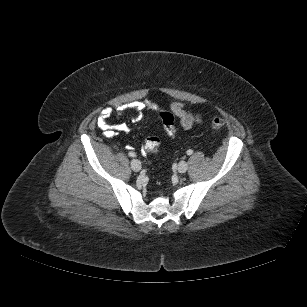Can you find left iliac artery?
<instances>
[{
	"label": "left iliac artery",
	"instance_id": "left-iliac-artery-1",
	"mask_svg": "<svg viewBox=\"0 0 307 307\" xmlns=\"http://www.w3.org/2000/svg\"><path fill=\"white\" fill-rule=\"evenodd\" d=\"M187 155H191V154H193V150H191V149H189V150H187Z\"/></svg>",
	"mask_w": 307,
	"mask_h": 307
}]
</instances>
